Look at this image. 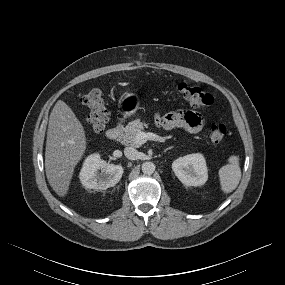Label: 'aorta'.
Returning a JSON list of instances; mask_svg holds the SVG:
<instances>
[{
    "mask_svg": "<svg viewBox=\"0 0 285 285\" xmlns=\"http://www.w3.org/2000/svg\"><path fill=\"white\" fill-rule=\"evenodd\" d=\"M155 164L153 162H144L142 164V172L144 174H148V175H151L154 173L155 171Z\"/></svg>",
    "mask_w": 285,
    "mask_h": 285,
    "instance_id": "aorta-1",
    "label": "aorta"
}]
</instances>
